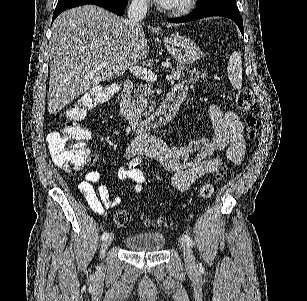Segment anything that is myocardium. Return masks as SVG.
<instances>
[{
	"label": "myocardium",
	"instance_id": "1",
	"mask_svg": "<svg viewBox=\"0 0 307 301\" xmlns=\"http://www.w3.org/2000/svg\"><path fill=\"white\" fill-rule=\"evenodd\" d=\"M194 0H183L182 3L161 4L158 12H164V17H178L187 13L193 6Z\"/></svg>",
	"mask_w": 307,
	"mask_h": 301
}]
</instances>
